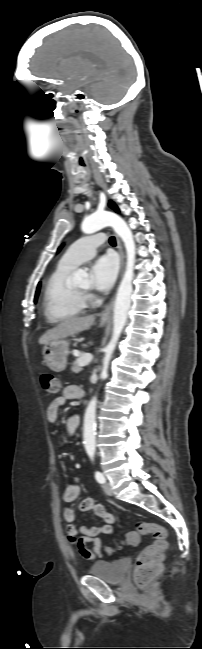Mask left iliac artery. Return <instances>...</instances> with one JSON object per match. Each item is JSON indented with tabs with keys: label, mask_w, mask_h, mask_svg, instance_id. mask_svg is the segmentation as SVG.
I'll return each mask as SVG.
<instances>
[{
	"label": "left iliac artery",
	"mask_w": 202,
	"mask_h": 649,
	"mask_svg": "<svg viewBox=\"0 0 202 649\" xmlns=\"http://www.w3.org/2000/svg\"><path fill=\"white\" fill-rule=\"evenodd\" d=\"M91 459L93 460V457ZM95 478H96L97 482H99L101 484L105 483V478H104V476H103V474L101 472L96 471L95 472Z\"/></svg>",
	"instance_id": "44dca946"
}]
</instances>
